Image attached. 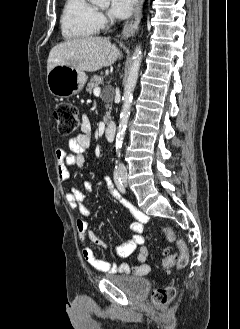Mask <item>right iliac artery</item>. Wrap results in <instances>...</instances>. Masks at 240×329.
<instances>
[{"label":"right iliac artery","mask_w":240,"mask_h":329,"mask_svg":"<svg viewBox=\"0 0 240 329\" xmlns=\"http://www.w3.org/2000/svg\"><path fill=\"white\" fill-rule=\"evenodd\" d=\"M114 181H115V184H116L117 188L119 189V191L121 193H125L124 184L121 181V178H120L117 170H115V172H114Z\"/></svg>","instance_id":"1"}]
</instances>
